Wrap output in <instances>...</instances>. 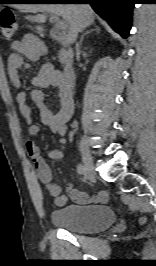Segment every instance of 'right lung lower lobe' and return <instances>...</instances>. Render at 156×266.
<instances>
[{
    "instance_id": "1",
    "label": "right lung lower lobe",
    "mask_w": 156,
    "mask_h": 266,
    "mask_svg": "<svg viewBox=\"0 0 156 266\" xmlns=\"http://www.w3.org/2000/svg\"><path fill=\"white\" fill-rule=\"evenodd\" d=\"M51 3L90 4L123 38L129 35L135 0H48Z\"/></svg>"
}]
</instances>
